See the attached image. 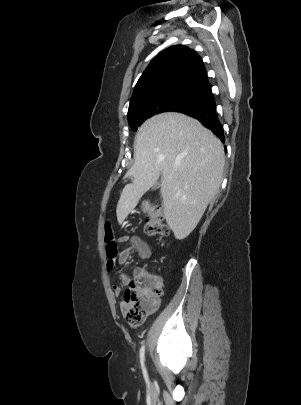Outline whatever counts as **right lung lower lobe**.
<instances>
[{
	"mask_svg": "<svg viewBox=\"0 0 301 405\" xmlns=\"http://www.w3.org/2000/svg\"><path fill=\"white\" fill-rule=\"evenodd\" d=\"M178 112L199 120L205 127L216 134L221 139V141L225 140L224 130L219 122L214 100L210 104L199 107L185 108Z\"/></svg>",
	"mask_w": 301,
	"mask_h": 405,
	"instance_id": "1",
	"label": "right lung lower lobe"
}]
</instances>
